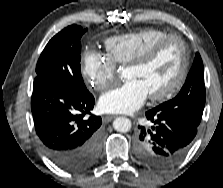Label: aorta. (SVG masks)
<instances>
[{"mask_svg": "<svg viewBox=\"0 0 223 188\" xmlns=\"http://www.w3.org/2000/svg\"><path fill=\"white\" fill-rule=\"evenodd\" d=\"M113 127L118 132H128L131 129V121L125 117H117L113 121Z\"/></svg>", "mask_w": 223, "mask_h": 188, "instance_id": "obj_1", "label": "aorta"}]
</instances>
